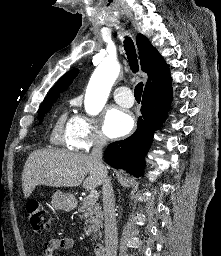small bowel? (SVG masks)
Returning <instances> with one entry per match:
<instances>
[{"mask_svg": "<svg viewBox=\"0 0 221 256\" xmlns=\"http://www.w3.org/2000/svg\"><path fill=\"white\" fill-rule=\"evenodd\" d=\"M74 244V240L69 237L51 239L44 244L42 256H54L55 251L72 249Z\"/></svg>", "mask_w": 221, "mask_h": 256, "instance_id": "small-bowel-1", "label": "small bowel"}]
</instances>
